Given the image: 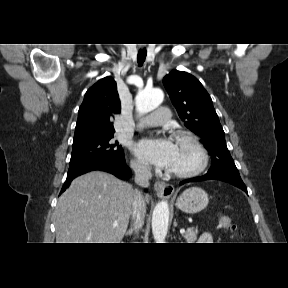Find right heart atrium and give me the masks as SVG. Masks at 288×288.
<instances>
[{"label":"right heart atrium","instance_id":"d8ad5b80","mask_svg":"<svg viewBox=\"0 0 288 288\" xmlns=\"http://www.w3.org/2000/svg\"><path fill=\"white\" fill-rule=\"evenodd\" d=\"M132 167L134 168L135 171L139 173H147L148 172V166L141 160L134 159L131 162Z\"/></svg>","mask_w":288,"mask_h":288}]
</instances>
